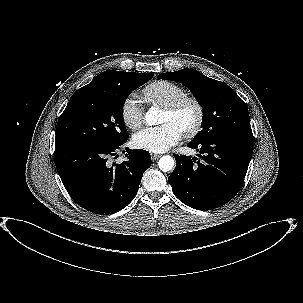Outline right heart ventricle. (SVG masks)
Masks as SVG:
<instances>
[{
	"mask_svg": "<svg viewBox=\"0 0 303 303\" xmlns=\"http://www.w3.org/2000/svg\"><path fill=\"white\" fill-rule=\"evenodd\" d=\"M143 93L149 103L161 107L168 106L187 95L184 88L167 80H158L148 84Z\"/></svg>",
	"mask_w": 303,
	"mask_h": 303,
	"instance_id": "1",
	"label": "right heart ventricle"
}]
</instances>
